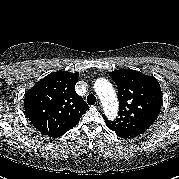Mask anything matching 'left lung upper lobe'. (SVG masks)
<instances>
[{
	"instance_id": "5c2ea615",
	"label": "left lung upper lobe",
	"mask_w": 179,
	"mask_h": 179,
	"mask_svg": "<svg viewBox=\"0 0 179 179\" xmlns=\"http://www.w3.org/2000/svg\"><path fill=\"white\" fill-rule=\"evenodd\" d=\"M111 77L118 86V118L106 125L119 137L134 138L145 132L155 121L162 104L159 82L134 70H114Z\"/></svg>"
}]
</instances>
